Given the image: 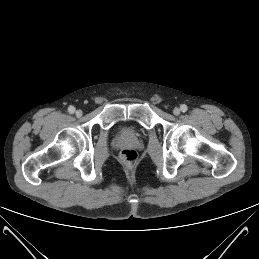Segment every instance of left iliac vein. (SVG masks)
<instances>
[{
	"label": "left iliac vein",
	"mask_w": 259,
	"mask_h": 259,
	"mask_svg": "<svg viewBox=\"0 0 259 259\" xmlns=\"http://www.w3.org/2000/svg\"><path fill=\"white\" fill-rule=\"evenodd\" d=\"M173 114H174V115H176V116H177V115H179V114H180V109H179V108H177V107H176V108H174V110H173Z\"/></svg>",
	"instance_id": "obj_1"
}]
</instances>
